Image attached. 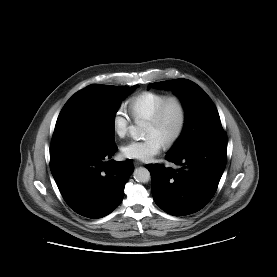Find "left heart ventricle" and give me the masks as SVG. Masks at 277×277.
Returning <instances> with one entry per match:
<instances>
[{
  "label": "left heart ventricle",
  "mask_w": 277,
  "mask_h": 277,
  "mask_svg": "<svg viewBox=\"0 0 277 277\" xmlns=\"http://www.w3.org/2000/svg\"><path fill=\"white\" fill-rule=\"evenodd\" d=\"M180 120V111L176 103H170L164 117L158 125L147 123L145 134L157 136L163 144L175 133Z\"/></svg>",
  "instance_id": "left-heart-ventricle-1"
}]
</instances>
